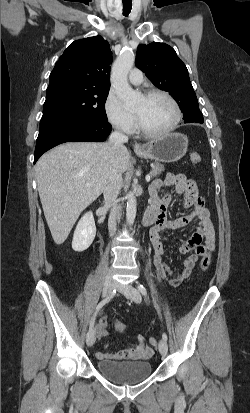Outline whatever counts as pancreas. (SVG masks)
Masks as SVG:
<instances>
[{
  "label": "pancreas",
  "instance_id": "1",
  "mask_svg": "<svg viewBox=\"0 0 250 413\" xmlns=\"http://www.w3.org/2000/svg\"><path fill=\"white\" fill-rule=\"evenodd\" d=\"M162 171H164V166L160 163H155L152 167L150 175L153 177H157L161 174Z\"/></svg>",
  "mask_w": 250,
  "mask_h": 413
}]
</instances>
